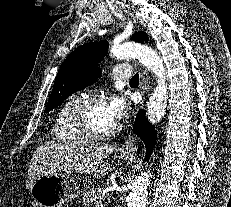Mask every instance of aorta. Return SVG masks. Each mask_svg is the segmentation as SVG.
Wrapping results in <instances>:
<instances>
[{"label": "aorta", "instance_id": "obj_1", "mask_svg": "<svg viewBox=\"0 0 231 207\" xmlns=\"http://www.w3.org/2000/svg\"><path fill=\"white\" fill-rule=\"evenodd\" d=\"M110 53L117 59H137L157 77V86L147 104V118L152 124L158 123L165 114L167 105L166 72L163 61L156 51L134 42L113 45ZM151 172H142L132 184L127 198V207H145Z\"/></svg>", "mask_w": 231, "mask_h": 207}]
</instances>
